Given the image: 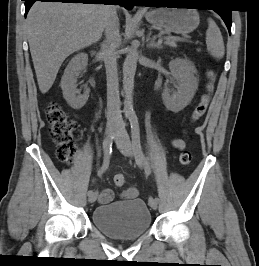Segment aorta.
Segmentation results:
<instances>
[{
  "label": "aorta",
  "instance_id": "obj_1",
  "mask_svg": "<svg viewBox=\"0 0 259 266\" xmlns=\"http://www.w3.org/2000/svg\"><path fill=\"white\" fill-rule=\"evenodd\" d=\"M138 51L135 44L130 48L123 64L124 113L126 116L134 114L133 90L134 77L137 68Z\"/></svg>",
  "mask_w": 259,
  "mask_h": 266
}]
</instances>
